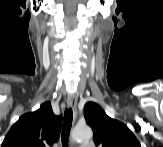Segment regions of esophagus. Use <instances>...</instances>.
<instances>
[{
	"label": "esophagus",
	"instance_id": "esophagus-1",
	"mask_svg": "<svg viewBox=\"0 0 163 147\" xmlns=\"http://www.w3.org/2000/svg\"><path fill=\"white\" fill-rule=\"evenodd\" d=\"M67 104H68V107L72 109L74 120H75L77 117V111H76L77 95L76 94L69 95L67 99Z\"/></svg>",
	"mask_w": 163,
	"mask_h": 147
}]
</instances>
